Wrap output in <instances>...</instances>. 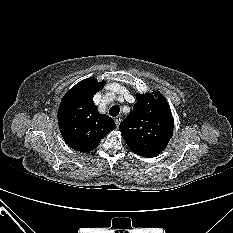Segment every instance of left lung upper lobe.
Returning a JSON list of instances; mask_svg holds the SVG:
<instances>
[{
  "label": "left lung upper lobe",
  "mask_w": 233,
  "mask_h": 233,
  "mask_svg": "<svg viewBox=\"0 0 233 233\" xmlns=\"http://www.w3.org/2000/svg\"><path fill=\"white\" fill-rule=\"evenodd\" d=\"M136 99L119 130L134 153L143 157L157 156L173 135L174 120L169 104L160 92L137 94Z\"/></svg>",
  "instance_id": "obj_1"
}]
</instances>
